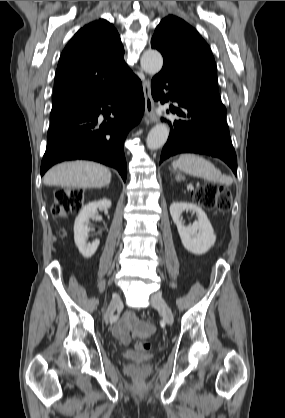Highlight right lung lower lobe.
I'll return each mask as SVG.
<instances>
[{
	"label": "right lung lower lobe",
	"mask_w": 285,
	"mask_h": 418,
	"mask_svg": "<svg viewBox=\"0 0 285 418\" xmlns=\"http://www.w3.org/2000/svg\"><path fill=\"white\" fill-rule=\"evenodd\" d=\"M144 107L141 81L132 73L122 87L50 123L41 175L59 162L85 159L117 169L125 181L127 165L123 144L129 130L141 120ZM101 113L104 118L112 113L114 118L107 125H99Z\"/></svg>",
	"instance_id": "obj_1"
}]
</instances>
